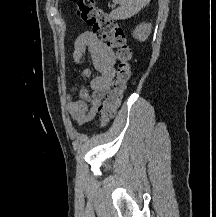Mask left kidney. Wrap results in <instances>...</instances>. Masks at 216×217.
<instances>
[{
  "mask_svg": "<svg viewBox=\"0 0 216 217\" xmlns=\"http://www.w3.org/2000/svg\"><path fill=\"white\" fill-rule=\"evenodd\" d=\"M151 32V24L142 23L133 31V37L139 41H145Z\"/></svg>",
  "mask_w": 216,
  "mask_h": 217,
  "instance_id": "1",
  "label": "left kidney"
}]
</instances>
